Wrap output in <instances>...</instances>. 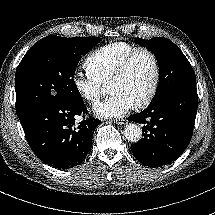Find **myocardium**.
<instances>
[{
  "mask_svg": "<svg viewBox=\"0 0 215 215\" xmlns=\"http://www.w3.org/2000/svg\"><path fill=\"white\" fill-rule=\"evenodd\" d=\"M139 53H146L150 57L153 64V77H152L151 85L145 97L139 103L133 105V108L135 110L145 109L151 103V101L153 100L157 92L159 81H160V64L156 54L147 47H136L132 49L130 52H128L125 56H123L120 59V61L116 65L113 73L109 78V82H110L114 79L121 77L126 72L133 58Z\"/></svg>",
  "mask_w": 215,
  "mask_h": 215,
  "instance_id": "f54148a6",
  "label": "myocardium"
}]
</instances>
